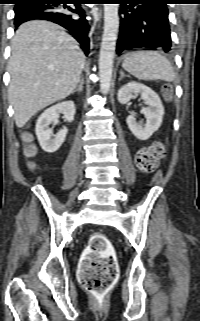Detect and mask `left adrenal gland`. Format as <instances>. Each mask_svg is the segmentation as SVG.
I'll return each instance as SVG.
<instances>
[{"label":"left adrenal gland","mask_w":200,"mask_h":321,"mask_svg":"<svg viewBox=\"0 0 200 321\" xmlns=\"http://www.w3.org/2000/svg\"><path fill=\"white\" fill-rule=\"evenodd\" d=\"M125 76H127V75H125L123 71H120L119 81H121L123 79V77H125Z\"/></svg>","instance_id":"a2214340"}]
</instances>
